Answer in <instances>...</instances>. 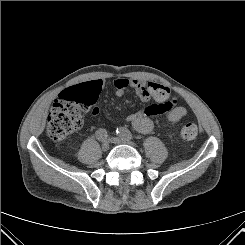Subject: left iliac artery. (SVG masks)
Returning <instances> with one entry per match:
<instances>
[{
    "instance_id": "44dca946",
    "label": "left iliac artery",
    "mask_w": 245,
    "mask_h": 245,
    "mask_svg": "<svg viewBox=\"0 0 245 245\" xmlns=\"http://www.w3.org/2000/svg\"><path fill=\"white\" fill-rule=\"evenodd\" d=\"M116 133L122 138L126 140H130L133 138L132 133L126 128H119L116 130Z\"/></svg>"
}]
</instances>
